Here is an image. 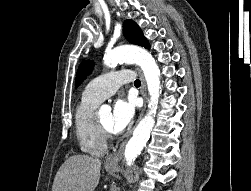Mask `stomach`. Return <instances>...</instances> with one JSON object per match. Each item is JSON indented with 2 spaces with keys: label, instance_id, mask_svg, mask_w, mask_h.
<instances>
[{
  "label": "stomach",
  "instance_id": "obj_1",
  "mask_svg": "<svg viewBox=\"0 0 251 191\" xmlns=\"http://www.w3.org/2000/svg\"><path fill=\"white\" fill-rule=\"evenodd\" d=\"M106 171H109V173H111V171H116V169H118L117 165H112V167H105Z\"/></svg>",
  "mask_w": 251,
  "mask_h": 191
}]
</instances>
